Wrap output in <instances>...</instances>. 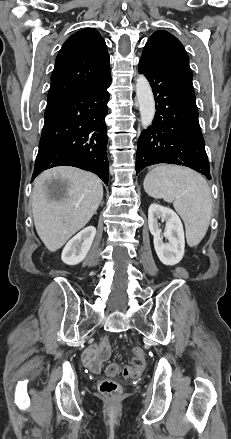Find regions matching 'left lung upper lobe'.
<instances>
[{
  "label": "left lung upper lobe",
  "mask_w": 231,
  "mask_h": 439,
  "mask_svg": "<svg viewBox=\"0 0 231 439\" xmlns=\"http://www.w3.org/2000/svg\"><path fill=\"white\" fill-rule=\"evenodd\" d=\"M163 64L184 79L191 87L193 74L189 66L188 55L180 41L166 31H156L144 47Z\"/></svg>",
  "instance_id": "obj_1"
}]
</instances>
